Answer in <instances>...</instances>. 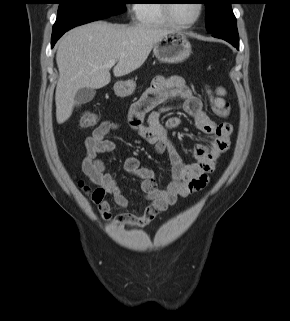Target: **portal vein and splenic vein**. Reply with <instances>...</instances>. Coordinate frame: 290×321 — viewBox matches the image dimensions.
Returning a JSON list of instances; mask_svg holds the SVG:
<instances>
[{
  "instance_id": "18ae733b",
  "label": "portal vein and splenic vein",
  "mask_w": 290,
  "mask_h": 321,
  "mask_svg": "<svg viewBox=\"0 0 290 321\" xmlns=\"http://www.w3.org/2000/svg\"><path fill=\"white\" fill-rule=\"evenodd\" d=\"M116 64V60H110L107 64V67H112Z\"/></svg>"
}]
</instances>
